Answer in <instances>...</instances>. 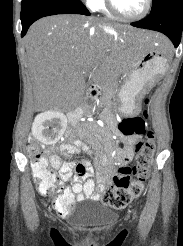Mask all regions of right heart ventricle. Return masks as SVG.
<instances>
[{"label":"right heart ventricle","instance_id":"1","mask_svg":"<svg viewBox=\"0 0 183 246\" xmlns=\"http://www.w3.org/2000/svg\"><path fill=\"white\" fill-rule=\"evenodd\" d=\"M94 10L100 11L106 15H111V13L109 12L106 6L105 0H99L97 5L94 7Z\"/></svg>","mask_w":183,"mask_h":246}]
</instances>
